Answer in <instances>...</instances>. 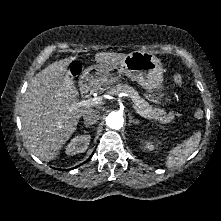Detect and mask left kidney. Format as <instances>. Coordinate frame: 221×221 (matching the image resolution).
Here are the masks:
<instances>
[{"mask_svg": "<svg viewBox=\"0 0 221 221\" xmlns=\"http://www.w3.org/2000/svg\"><path fill=\"white\" fill-rule=\"evenodd\" d=\"M142 143H143L142 148L144 150H153L154 149V145H153L152 142H150V141H143Z\"/></svg>", "mask_w": 221, "mask_h": 221, "instance_id": "obj_1", "label": "left kidney"}]
</instances>
